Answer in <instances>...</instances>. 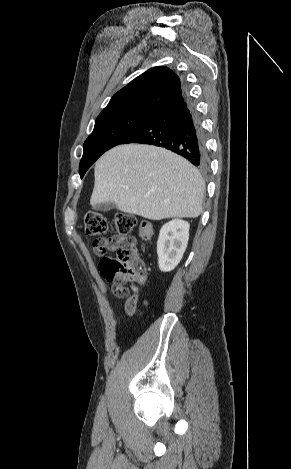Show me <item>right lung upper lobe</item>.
I'll return each mask as SVG.
<instances>
[{
    "instance_id": "cb5924a9",
    "label": "right lung upper lobe",
    "mask_w": 291,
    "mask_h": 469,
    "mask_svg": "<svg viewBox=\"0 0 291 469\" xmlns=\"http://www.w3.org/2000/svg\"><path fill=\"white\" fill-rule=\"evenodd\" d=\"M183 92L182 81L176 73L164 66L154 67L118 91L99 116L127 110L154 113Z\"/></svg>"
}]
</instances>
